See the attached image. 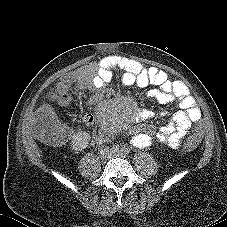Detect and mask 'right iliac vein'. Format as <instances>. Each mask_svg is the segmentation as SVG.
<instances>
[{
    "label": "right iliac vein",
    "mask_w": 227,
    "mask_h": 227,
    "mask_svg": "<svg viewBox=\"0 0 227 227\" xmlns=\"http://www.w3.org/2000/svg\"><path fill=\"white\" fill-rule=\"evenodd\" d=\"M109 155H110V150L107 148L100 151V158L102 160H107L109 158Z\"/></svg>",
    "instance_id": "63e3f726"
}]
</instances>
